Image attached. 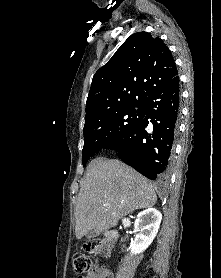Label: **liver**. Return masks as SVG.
Masks as SVG:
<instances>
[{"instance_id": "liver-1", "label": "liver", "mask_w": 221, "mask_h": 278, "mask_svg": "<svg viewBox=\"0 0 221 278\" xmlns=\"http://www.w3.org/2000/svg\"><path fill=\"white\" fill-rule=\"evenodd\" d=\"M156 201L153 185L134 169L116 159H94L87 167L74 210L76 238L89 231H107L123 216L150 208Z\"/></svg>"}]
</instances>
